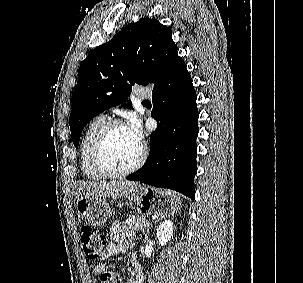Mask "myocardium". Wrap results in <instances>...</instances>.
I'll return each mask as SVG.
<instances>
[{
    "instance_id": "myocardium-1",
    "label": "myocardium",
    "mask_w": 303,
    "mask_h": 283,
    "mask_svg": "<svg viewBox=\"0 0 303 283\" xmlns=\"http://www.w3.org/2000/svg\"><path fill=\"white\" fill-rule=\"evenodd\" d=\"M115 127H126V125L119 119L106 121L98 131L91 149V158L94 167L100 174L108 178H119L135 172L142 166L146 158V149L141 145L139 155L132 165L121 170L111 168L105 160L104 148L111 130Z\"/></svg>"
}]
</instances>
